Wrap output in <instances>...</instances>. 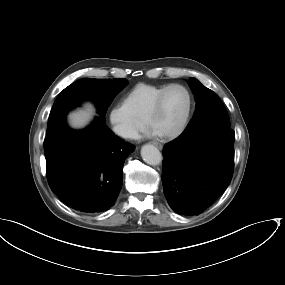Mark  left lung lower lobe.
I'll use <instances>...</instances> for the list:
<instances>
[{
  "instance_id": "1",
  "label": "left lung lower lobe",
  "mask_w": 285,
  "mask_h": 285,
  "mask_svg": "<svg viewBox=\"0 0 285 285\" xmlns=\"http://www.w3.org/2000/svg\"><path fill=\"white\" fill-rule=\"evenodd\" d=\"M234 131L227 126L193 127L163 149L162 183L170 207L198 215L223 193L234 170Z\"/></svg>"
}]
</instances>
